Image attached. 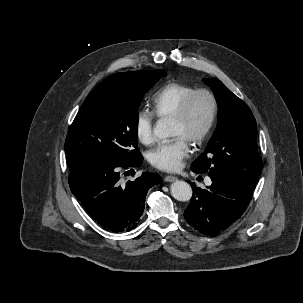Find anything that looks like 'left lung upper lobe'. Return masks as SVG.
<instances>
[{"mask_svg":"<svg viewBox=\"0 0 303 303\" xmlns=\"http://www.w3.org/2000/svg\"><path fill=\"white\" fill-rule=\"evenodd\" d=\"M218 104V123L206 151L192 164L196 173H218L252 189L262 171L256 142L257 125L249 107L221 81L204 78Z\"/></svg>","mask_w":303,"mask_h":303,"instance_id":"left-lung-upper-lobe-1","label":"left lung upper lobe"}]
</instances>
